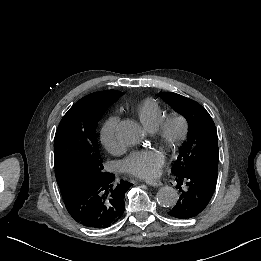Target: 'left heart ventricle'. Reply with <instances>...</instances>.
<instances>
[{
	"label": "left heart ventricle",
	"instance_id": "obj_1",
	"mask_svg": "<svg viewBox=\"0 0 261 261\" xmlns=\"http://www.w3.org/2000/svg\"><path fill=\"white\" fill-rule=\"evenodd\" d=\"M143 131H144L145 133L147 132L146 129H144V128H143Z\"/></svg>",
	"mask_w": 261,
	"mask_h": 261
}]
</instances>
